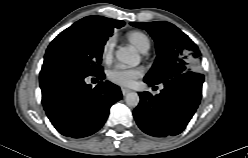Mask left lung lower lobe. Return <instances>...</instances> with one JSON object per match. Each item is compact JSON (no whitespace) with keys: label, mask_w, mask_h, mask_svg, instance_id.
<instances>
[{"label":"left lung lower lobe","mask_w":248,"mask_h":158,"mask_svg":"<svg viewBox=\"0 0 248 158\" xmlns=\"http://www.w3.org/2000/svg\"><path fill=\"white\" fill-rule=\"evenodd\" d=\"M204 76L186 72L167 80L155 96L140 92V103L133 115L139 128L154 137L181 133L194 115L202 96ZM150 86L156 83L144 78Z\"/></svg>","instance_id":"1"}]
</instances>
